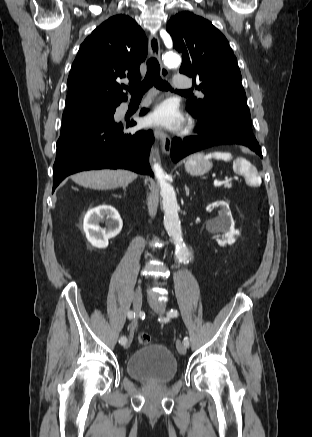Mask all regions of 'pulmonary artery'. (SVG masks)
Listing matches in <instances>:
<instances>
[{
	"label": "pulmonary artery",
	"instance_id": "pulmonary-artery-1",
	"mask_svg": "<svg viewBox=\"0 0 312 437\" xmlns=\"http://www.w3.org/2000/svg\"><path fill=\"white\" fill-rule=\"evenodd\" d=\"M191 85V79L185 74H176L173 77V86L177 89H188Z\"/></svg>",
	"mask_w": 312,
	"mask_h": 437
}]
</instances>
